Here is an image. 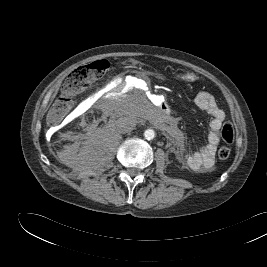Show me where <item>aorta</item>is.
<instances>
[{"label":"aorta","mask_w":267,"mask_h":267,"mask_svg":"<svg viewBox=\"0 0 267 267\" xmlns=\"http://www.w3.org/2000/svg\"><path fill=\"white\" fill-rule=\"evenodd\" d=\"M144 137H145L147 140H152V139L155 137V132H154V130H152V129H147V130H145V132H144Z\"/></svg>","instance_id":"1"}]
</instances>
